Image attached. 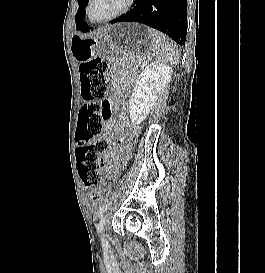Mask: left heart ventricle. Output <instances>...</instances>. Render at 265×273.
<instances>
[{"label": "left heart ventricle", "instance_id": "left-heart-ventricle-1", "mask_svg": "<svg viewBox=\"0 0 265 273\" xmlns=\"http://www.w3.org/2000/svg\"><path fill=\"white\" fill-rule=\"evenodd\" d=\"M126 0H93L91 4V16L94 19H102L112 15L121 9Z\"/></svg>", "mask_w": 265, "mask_h": 273}]
</instances>
